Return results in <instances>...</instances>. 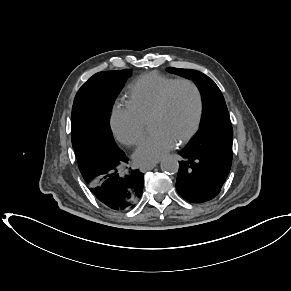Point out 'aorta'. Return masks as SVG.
<instances>
[{"instance_id": "762f6f07", "label": "aorta", "mask_w": 291, "mask_h": 291, "mask_svg": "<svg viewBox=\"0 0 291 291\" xmlns=\"http://www.w3.org/2000/svg\"><path fill=\"white\" fill-rule=\"evenodd\" d=\"M160 167L161 170L166 173L175 174L178 172L179 164L177 159L173 157H167L161 161Z\"/></svg>"}]
</instances>
